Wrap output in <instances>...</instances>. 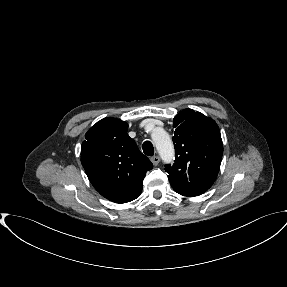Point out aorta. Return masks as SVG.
Listing matches in <instances>:
<instances>
[{
  "mask_svg": "<svg viewBox=\"0 0 287 287\" xmlns=\"http://www.w3.org/2000/svg\"><path fill=\"white\" fill-rule=\"evenodd\" d=\"M151 137L161 159L166 163L172 162L174 159V146L168 133L162 127H155Z\"/></svg>",
  "mask_w": 287,
  "mask_h": 287,
  "instance_id": "1",
  "label": "aorta"
}]
</instances>
